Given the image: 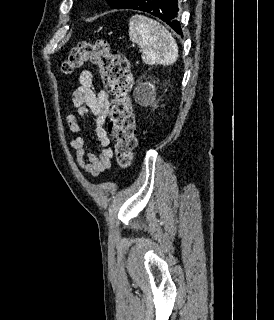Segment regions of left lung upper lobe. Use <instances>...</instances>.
<instances>
[{"mask_svg":"<svg viewBox=\"0 0 274 320\" xmlns=\"http://www.w3.org/2000/svg\"><path fill=\"white\" fill-rule=\"evenodd\" d=\"M111 8L123 9L131 0H106Z\"/></svg>","mask_w":274,"mask_h":320,"instance_id":"obj_1","label":"left lung upper lobe"}]
</instances>
